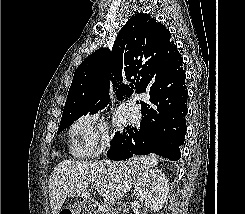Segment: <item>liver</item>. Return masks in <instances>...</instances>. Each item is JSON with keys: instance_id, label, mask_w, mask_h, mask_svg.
Listing matches in <instances>:
<instances>
[{"instance_id": "obj_1", "label": "liver", "mask_w": 245, "mask_h": 214, "mask_svg": "<svg viewBox=\"0 0 245 214\" xmlns=\"http://www.w3.org/2000/svg\"><path fill=\"white\" fill-rule=\"evenodd\" d=\"M158 164L153 156L133 157L126 161L106 163L63 160L52 171L49 181V199L52 214H58L67 197L90 196L89 185L103 196L121 199L146 171Z\"/></svg>"}]
</instances>
